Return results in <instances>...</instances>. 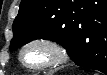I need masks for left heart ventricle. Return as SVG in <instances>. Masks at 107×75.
<instances>
[{"mask_svg":"<svg viewBox=\"0 0 107 75\" xmlns=\"http://www.w3.org/2000/svg\"><path fill=\"white\" fill-rule=\"evenodd\" d=\"M53 54L46 48L36 46L25 52L24 59L30 65H39L52 60Z\"/></svg>","mask_w":107,"mask_h":75,"instance_id":"obj_1","label":"left heart ventricle"}]
</instances>
